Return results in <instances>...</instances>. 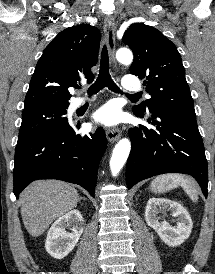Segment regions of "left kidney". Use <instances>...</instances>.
<instances>
[{
  "label": "left kidney",
  "mask_w": 215,
  "mask_h": 274,
  "mask_svg": "<svg viewBox=\"0 0 215 274\" xmlns=\"http://www.w3.org/2000/svg\"><path fill=\"white\" fill-rule=\"evenodd\" d=\"M166 209L171 210L172 216L177 217L175 226L167 221H159L157 215ZM145 220L153 228L160 239L168 246L176 247L189 238L193 223L188 211L179 203L168 199L151 198L147 202Z\"/></svg>",
  "instance_id": "5707ae66"
}]
</instances>
